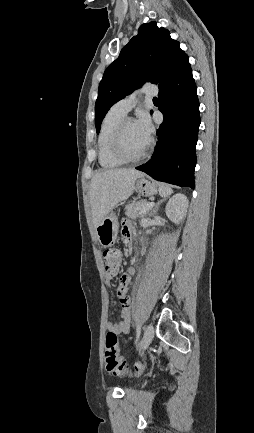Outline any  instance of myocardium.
Here are the masks:
<instances>
[{
    "instance_id": "f54148a6",
    "label": "myocardium",
    "mask_w": 254,
    "mask_h": 433,
    "mask_svg": "<svg viewBox=\"0 0 254 433\" xmlns=\"http://www.w3.org/2000/svg\"><path fill=\"white\" fill-rule=\"evenodd\" d=\"M134 121L130 117H124L120 123L118 124L114 137L112 142V149L115 156L120 159L123 163H133L138 162L146 157L148 154L151 146H152V140L149 138L148 143L146 147L136 156H130L126 153L124 146H123V133L125 126L128 122Z\"/></svg>"
}]
</instances>
